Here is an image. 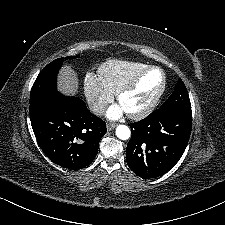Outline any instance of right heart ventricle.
I'll use <instances>...</instances> for the list:
<instances>
[{
	"mask_svg": "<svg viewBox=\"0 0 225 225\" xmlns=\"http://www.w3.org/2000/svg\"><path fill=\"white\" fill-rule=\"evenodd\" d=\"M147 66L141 62L112 59L99 66V75L107 88L116 94Z\"/></svg>",
	"mask_w": 225,
	"mask_h": 225,
	"instance_id": "e07e8e85",
	"label": "right heart ventricle"
}]
</instances>
